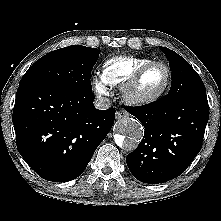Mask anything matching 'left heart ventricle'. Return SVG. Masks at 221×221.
Masks as SVG:
<instances>
[{
    "label": "left heart ventricle",
    "mask_w": 221,
    "mask_h": 221,
    "mask_svg": "<svg viewBox=\"0 0 221 221\" xmlns=\"http://www.w3.org/2000/svg\"><path fill=\"white\" fill-rule=\"evenodd\" d=\"M166 80V70L162 66H154L141 78L138 84V92L150 94L160 89Z\"/></svg>",
    "instance_id": "obj_1"
}]
</instances>
